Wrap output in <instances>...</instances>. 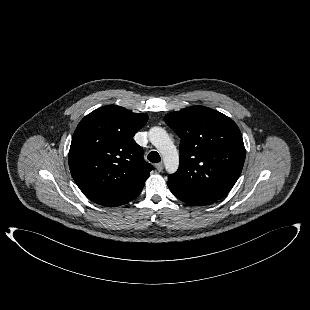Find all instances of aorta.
I'll list each match as a JSON object with an SVG mask.
<instances>
[{
	"label": "aorta",
	"instance_id": "762f6f07",
	"mask_svg": "<svg viewBox=\"0 0 310 310\" xmlns=\"http://www.w3.org/2000/svg\"><path fill=\"white\" fill-rule=\"evenodd\" d=\"M148 136L150 142L160 152L167 172H176L179 166V154L168 133L161 127H152Z\"/></svg>",
	"mask_w": 310,
	"mask_h": 310
}]
</instances>
